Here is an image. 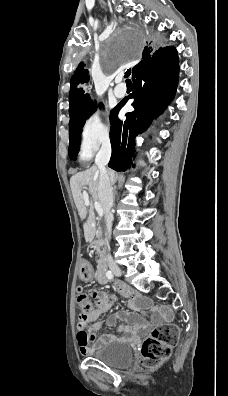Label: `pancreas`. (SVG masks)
<instances>
[{"label": "pancreas", "instance_id": "pancreas-1", "mask_svg": "<svg viewBox=\"0 0 228 396\" xmlns=\"http://www.w3.org/2000/svg\"><path fill=\"white\" fill-rule=\"evenodd\" d=\"M92 244L94 245L97 252L101 254V246L104 244V239H103V232L101 231L100 228L97 230L96 240L92 241Z\"/></svg>", "mask_w": 228, "mask_h": 396}]
</instances>
